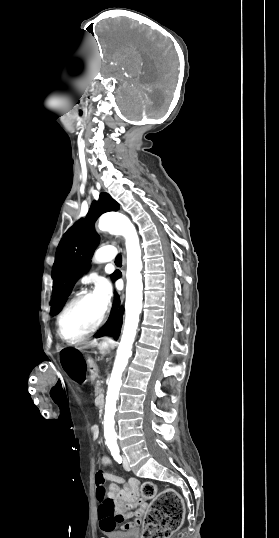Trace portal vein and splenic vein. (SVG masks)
Instances as JSON below:
<instances>
[{"mask_svg": "<svg viewBox=\"0 0 279 538\" xmlns=\"http://www.w3.org/2000/svg\"><path fill=\"white\" fill-rule=\"evenodd\" d=\"M100 383H103V380H100Z\"/></svg>", "mask_w": 279, "mask_h": 538, "instance_id": "1", "label": "portal vein and splenic vein"}]
</instances>
